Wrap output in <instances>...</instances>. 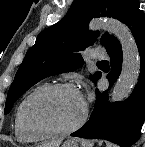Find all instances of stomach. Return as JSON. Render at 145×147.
<instances>
[{
  "label": "stomach",
  "instance_id": "stomach-1",
  "mask_svg": "<svg viewBox=\"0 0 145 147\" xmlns=\"http://www.w3.org/2000/svg\"><path fill=\"white\" fill-rule=\"evenodd\" d=\"M62 147H84V145L79 146L75 141L68 140L63 143Z\"/></svg>",
  "mask_w": 145,
  "mask_h": 147
}]
</instances>
